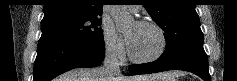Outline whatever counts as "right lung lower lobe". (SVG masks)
<instances>
[{"mask_svg":"<svg viewBox=\"0 0 237 81\" xmlns=\"http://www.w3.org/2000/svg\"><path fill=\"white\" fill-rule=\"evenodd\" d=\"M104 41L86 43L58 37H41L34 63L33 81H50L78 67H95L102 63Z\"/></svg>","mask_w":237,"mask_h":81,"instance_id":"obj_1","label":"right lung lower lobe"}]
</instances>
